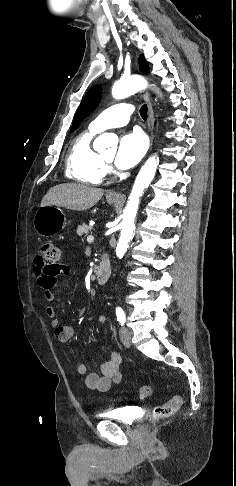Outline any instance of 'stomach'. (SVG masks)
I'll use <instances>...</instances> for the list:
<instances>
[{"label":"stomach","instance_id":"obj_1","mask_svg":"<svg viewBox=\"0 0 236 486\" xmlns=\"http://www.w3.org/2000/svg\"><path fill=\"white\" fill-rule=\"evenodd\" d=\"M107 202L113 204L116 199L107 198ZM33 226L38 235L50 237L65 228L66 217L58 206H41L34 215Z\"/></svg>","mask_w":236,"mask_h":486}]
</instances>
